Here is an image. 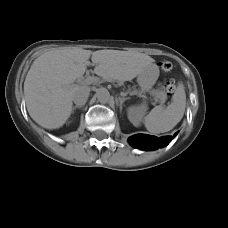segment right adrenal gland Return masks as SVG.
Listing matches in <instances>:
<instances>
[{"mask_svg":"<svg viewBox=\"0 0 228 228\" xmlns=\"http://www.w3.org/2000/svg\"><path fill=\"white\" fill-rule=\"evenodd\" d=\"M81 108H82V106H78V105L73 106V108H72V113L74 112V110H76V109H81Z\"/></svg>","mask_w":228,"mask_h":228,"instance_id":"obj_1","label":"right adrenal gland"}]
</instances>
